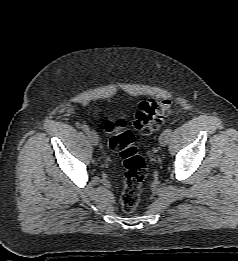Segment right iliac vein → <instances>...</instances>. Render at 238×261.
Segmentation results:
<instances>
[{
	"mask_svg": "<svg viewBox=\"0 0 238 261\" xmlns=\"http://www.w3.org/2000/svg\"><path fill=\"white\" fill-rule=\"evenodd\" d=\"M88 138L94 146L98 145L99 138H98V135L94 131L88 132Z\"/></svg>",
	"mask_w": 238,
	"mask_h": 261,
	"instance_id": "1",
	"label": "right iliac vein"
}]
</instances>
